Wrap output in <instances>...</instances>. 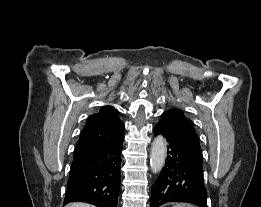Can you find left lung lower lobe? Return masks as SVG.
Here are the masks:
<instances>
[{
  "label": "left lung lower lobe",
  "instance_id": "obj_1",
  "mask_svg": "<svg viewBox=\"0 0 261 207\" xmlns=\"http://www.w3.org/2000/svg\"><path fill=\"white\" fill-rule=\"evenodd\" d=\"M154 135L167 141L165 167L151 188L150 207L167 202H188L207 207V191L203 178V159L197 157L169 126L158 122Z\"/></svg>",
  "mask_w": 261,
  "mask_h": 207
}]
</instances>
